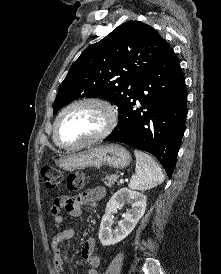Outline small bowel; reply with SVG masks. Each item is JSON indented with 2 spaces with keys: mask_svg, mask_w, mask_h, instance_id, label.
I'll return each instance as SVG.
<instances>
[{
  "mask_svg": "<svg viewBox=\"0 0 221 274\" xmlns=\"http://www.w3.org/2000/svg\"><path fill=\"white\" fill-rule=\"evenodd\" d=\"M105 190L103 188L89 189L78 196H59L56 197L51 205L53 214V223L56 228V233L51 240V250L53 253V264L57 274L64 273L62 246L75 234L72 228H63L64 217L62 210L73 217L82 215V208L87 205L96 206L97 203L104 197ZM83 259L89 266L87 274H98L97 268L100 265V257L95 254V241L93 238L87 239L81 251Z\"/></svg>",
  "mask_w": 221,
  "mask_h": 274,
  "instance_id": "c3829d8e",
  "label": "small bowel"
}]
</instances>
